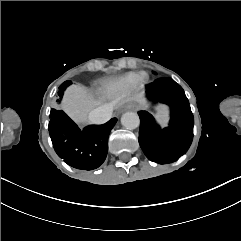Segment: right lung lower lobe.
<instances>
[{"mask_svg": "<svg viewBox=\"0 0 241 241\" xmlns=\"http://www.w3.org/2000/svg\"><path fill=\"white\" fill-rule=\"evenodd\" d=\"M50 117L48 129L52 144L65 163L77 169L93 170L105 161L108 137L116 118L81 130L62 110L52 112Z\"/></svg>", "mask_w": 241, "mask_h": 241, "instance_id": "98d812e1", "label": "right lung lower lobe"}]
</instances>
